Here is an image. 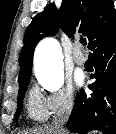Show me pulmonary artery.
<instances>
[{
	"mask_svg": "<svg viewBox=\"0 0 116 134\" xmlns=\"http://www.w3.org/2000/svg\"><path fill=\"white\" fill-rule=\"evenodd\" d=\"M73 57L75 63L78 65H84L86 62V57L82 54L79 44L75 46Z\"/></svg>",
	"mask_w": 116,
	"mask_h": 134,
	"instance_id": "pulmonary-artery-1",
	"label": "pulmonary artery"
}]
</instances>
